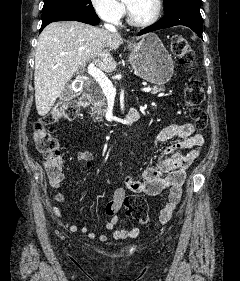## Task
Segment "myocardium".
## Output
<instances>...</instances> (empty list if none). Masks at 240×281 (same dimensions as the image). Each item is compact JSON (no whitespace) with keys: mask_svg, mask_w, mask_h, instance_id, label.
I'll return each instance as SVG.
<instances>
[{"mask_svg":"<svg viewBox=\"0 0 240 281\" xmlns=\"http://www.w3.org/2000/svg\"><path fill=\"white\" fill-rule=\"evenodd\" d=\"M154 2H155V11H154L153 15L151 16V18H149L148 20H145V21L135 20L132 17L128 6L126 5V16H127V22L129 23V25H131L133 27L144 28V27H149V26L153 25L154 23H156L161 15L162 0H155Z\"/></svg>","mask_w":240,"mask_h":281,"instance_id":"obj_1","label":"myocardium"}]
</instances>
